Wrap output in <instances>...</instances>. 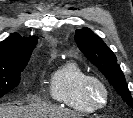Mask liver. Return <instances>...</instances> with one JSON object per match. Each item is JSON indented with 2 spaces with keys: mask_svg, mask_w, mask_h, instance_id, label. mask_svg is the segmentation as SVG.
Returning a JSON list of instances; mask_svg holds the SVG:
<instances>
[{
  "mask_svg": "<svg viewBox=\"0 0 133 118\" xmlns=\"http://www.w3.org/2000/svg\"><path fill=\"white\" fill-rule=\"evenodd\" d=\"M0 118H81V115L49 104L2 105L0 106Z\"/></svg>",
  "mask_w": 133,
  "mask_h": 118,
  "instance_id": "6515ba94",
  "label": "liver"
}]
</instances>
